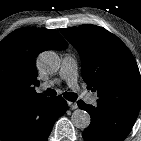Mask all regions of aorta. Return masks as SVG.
Here are the masks:
<instances>
[{
    "label": "aorta",
    "instance_id": "1",
    "mask_svg": "<svg viewBox=\"0 0 141 141\" xmlns=\"http://www.w3.org/2000/svg\"><path fill=\"white\" fill-rule=\"evenodd\" d=\"M37 65L40 70L53 74L60 68L59 56L53 51H44L37 58ZM71 121L76 128L86 129L91 122L89 113L82 109H76L71 115Z\"/></svg>",
    "mask_w": 141,
    "mask_h": 141
}]
</instances>
